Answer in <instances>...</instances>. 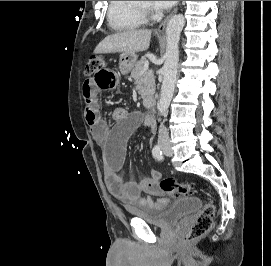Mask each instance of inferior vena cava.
<instances>
[{
  "label": "inferior vena cava",
  "mask_w": 271,
  "mask_h": 266,
  "mask_svg": "<svg viewBox=\"0 0 271 266\" xmlns=\"http://www.w3.org/2000/svg\"><path fill=\"white\" fill-rule=\"evenodd\" d=\"M158 140L160 142L169 140V135H168L167 129L165 128L163 123H161L160 128H159Z\"/></svg>",
  "instance_id": "obj_1"
}]
</instances>
